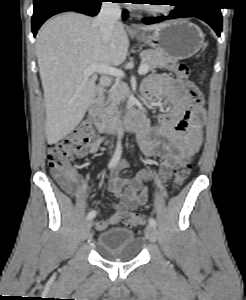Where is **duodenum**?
<instances>
[{
  "label": "duodenum",
  "instance_id": "obj_1",
  "mask_svg": "<svg viewBox=\"0 0 246 300\" xmlns=\"http://www.w3.org/2000/svg\"><path fill=\"white\" fill-rule=\"evenodd\" d=\"M102 88H98L93 95L89 106L88 113L93 120L98 131L101 133L120 132L123 130H138L146 119L141 108L134 106L121 118L111 121L105 113L102 105Z\"/></svg>",
  "mask_w": 246,
  "mask_h": 300
}]
</instances>
